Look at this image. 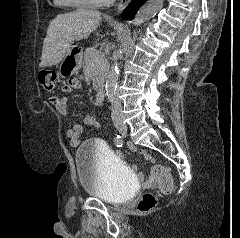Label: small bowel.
<instances>
[{"label":"small bowel","instance_id":"c3829d8e","mask_svg":"<svg viewBox=\"0 0 240 238\" xmlns=\"http://www.w3.org/2000/svg\"><path fill=\"white\" fill-rule=\"evenodd\" d=\"M80 84L77 79H71L69 82L62 87V91L65 93H69L74 89L79 88ZM50 102L52 105L56 108V110L62 114V115H67L68 113V100L66 97H60L57 95H52L50 97ZM84 124L88 126H95L98 127L99 123L97 119L92 116V115H87L84 118ZM83 133V126L81 124H74L71 128H69L66 132L67 137L70 140V144L73 147H77L80 142H81V135ZM125 147L127 148L128 151H136L139 153V155L144 158L149 164L154 165L155 160L153 157H151L147 151L145 150H138L137 148L139 147L138 143H126ZM113 151H116V154H124V149H117L116 146L112 147ZM132 169L136 168L135 164L131 165ZM138 175H144L145 171L144 170H138ZM152 176L150 174L148 179H141V184H144L145 187H154L155 183L152 182Z\"/></svg>","mask_w":240,"mask_h":238}]
</instances>
